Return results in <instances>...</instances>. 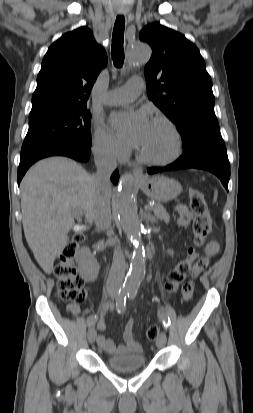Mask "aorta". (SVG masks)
<instances>
[{"label":"aorta","mask_w":253,"mask_h":413,"mask_svg":"<svg viewBox=\"0 0 253 413\" xmlns=\"http://www.w3.org/2000/svg\"><path fill=\"white\" fill-rule=\"evenodd\" d=\"M149 55L150 48L147 44L140 41L135 42L128 50V65L144 62ZM115 212L124 232L135 246L130 269L124 283L125 290L135 291L145 277V260L141 239V223L133 195L131 175L124 176L119 185L115 199Z\"/></svg>","instance_id":"aorta-1"}]
</instances>
